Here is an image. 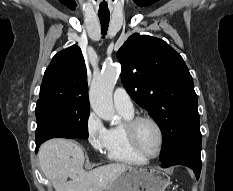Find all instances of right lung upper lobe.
Returning <instances> with one entry per match:
<instances>
[{
	"instance_id": "1",
	"label": "right lung upper lobe",
	"mask_w": 233,
	"mask_h": 191,
	"mask_svg": "<svg viewBox=\"0 0 233 191\" xmlns=\"http://www.w3.org/2000/svg\"><path fill=\"white\" fill-rule=\"evenodd\" d=\"M85 61L73 45L58 52L45 71L37 102H58L89 108Z\"/></svg>"
}]
</instances>
